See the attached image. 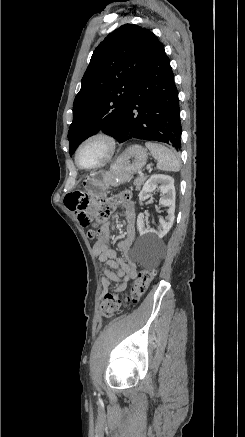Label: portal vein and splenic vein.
I'll return each instance as SVG.
<instances>
[{"mask_svg":"<svg viewBox=\"0 0 245 437\" xmlns=\"http://www.w3.org/2000/svg\"><path fill=\"white\" fill-rule=\"evenodd\" d=\"M151 166H152V164H149V165L147 166V169H151ZM139 175H140V176H142V175H143V173H142V172H140V173H139Z\"/></svg>","mask_w":245,"mask_h":437,"instance_id":"18ae733b","label":"portal vein and splenic vein"}]
</instances>
